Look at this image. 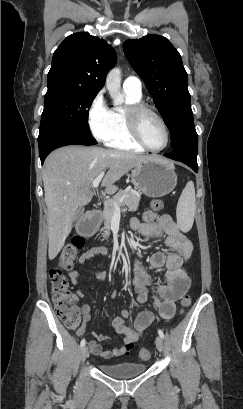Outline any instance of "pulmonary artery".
<instances>
[{
	"label": "pulmonary artery",
	"mask_w": 243,
	"mask_h": 409,
	"mask_svg": "<svg viewBox=\"0 0 243 409\" xmlns=\"http://www.w3.org/2000/svg\"><path fill=\"white\" fill-rule=\"evenodd\" d=\"M123 89L134 94L142 93V84L138 77L129 76L123 81Z\"/></svg>",
	"instance_id": "pulmonary-artery-1"
}]
</instances>
